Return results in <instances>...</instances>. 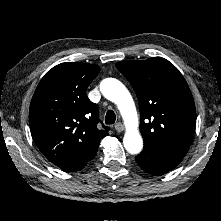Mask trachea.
Masks as SVG:
<instances>
[{
    "instance_id": "trachea-1",
    "label": "trachea",
    "mask_w": 221,
    "mask_h": 221,
    "mask_svg": "<svg viewBox=\"0 0 221 221\" xmlns=\"http://www.w3.org/2000/svg\"><path fill=\"white\" fill-rule=\"evenodd\" d=\"M115 120H116V115L114 111L112 110L107 111L106 116H105V123L108 125H112L115 123Z\"/></svg>"
}]
</instances>
